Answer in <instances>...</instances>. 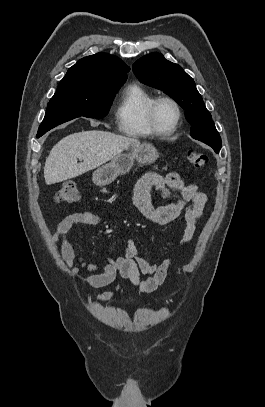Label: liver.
Here are the masks:
<instances>
[{
	"label": "liver",
	"instance_id": "liver-1",
	"mask_svg": "<svg viewBox=\"0 0 265 407\" xmlns=\"http://www.w3.org/2000/svg\"><path fill=\"white\" fill-rule=\"evenodd\" d=\"M139 144L136 139L106 131H82L68 135L53 146L45 161V182L51 185L78 177ZM77 159L83 162L78 163Z\"/></svg>",
	"mask_w": 265,
	"mask_h": 407
}]
</instances>
